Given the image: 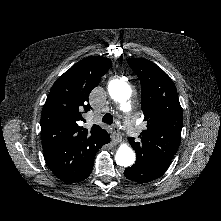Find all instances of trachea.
Returning <instances> with one entry per match:
<instances>
[{
	"label": "trachea",
	"mask_w": 221,
	"mask_h": 221,
	"mask_svg": "<svg viewBox=\"0 0 221 221\" xmlns=\"http://www.w3.org/2000/svg\"><path fill=\"white\" fill-rule=\"evenodd\" d=\"M102 121L108 125H112L113 123V116L110 113H106L103 118Z\"/></svg>",
	"instance_id": "obj_1"
}]
</instances>
